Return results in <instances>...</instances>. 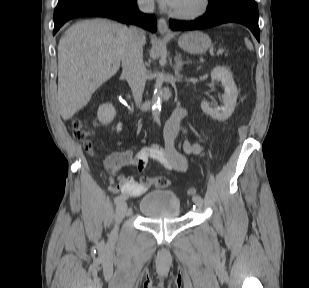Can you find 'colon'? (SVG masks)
<instances>
[{
    "label": "colon",
    "mask_w": 309,
    "mask_h": 288,
    "mask_svg": "<svg viewBox=\"0 0 309 288\" xmlns=\"http://www.w3.org/2000/svg\"><path fill=\"white\" fill-rule=\"evenodd\" d=\"M73 136L76 140L80 141L83 143L85 149L89 152V153H94L95 150V146L94 143L92 141V137H93V132L88 129L83 122L80 119H76L73 123ZM106 167L108 168L109 172H110V178H109V182L111 185H114L119 176H118V169L119 166L117 164H115L112 161H109L106 164ZM142 185L147 186L150 184H155L156 186L160 187V188H165L168 187L170 185V179L164 176L158 177L154 180L148 178V177H144L141 179L140 182ZM187 194L190 197H194L197 194L196 188L193 186L188 187L187 189Z\"/></svg>",
    "instance_id": "colon-1"
}]
</instances>
